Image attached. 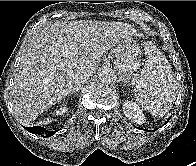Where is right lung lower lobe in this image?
<instances>
[{"label":"right lung lower lobe","mask_w":196,"mask_h":166,"mask_svg":"<svg viewBox=\"0 0 196 166\" xmlns=\"http://www.w3.org/2000/svg\"><path fill=\"white\" fill-rule=\"evenodd\" d=\"M26 130L33 134H38L44 137H50L54 135L55 131H48L44 127L41 126H33V127H26Z\"/></svg>","instance_id":"98d812e1"}]
</instances>
